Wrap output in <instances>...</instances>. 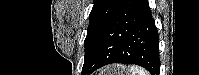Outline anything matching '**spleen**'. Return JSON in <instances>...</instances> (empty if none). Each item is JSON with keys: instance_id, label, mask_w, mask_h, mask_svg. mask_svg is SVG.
<instances>
[{"instance_id": "obj_1", "label": "spleen", "mask_w": 199, "mask_h": 75, "mask_svg": "<svg viewBox=\"0 0 199 75\" xmlns=\"http://www.w3.org/2000/svg\"><path fill=\"white\" fill-rule=\"evenodd\" d=\"M130 72L132 75H149V73L140 67H130Z\"/></svg>"}]
</instances>
